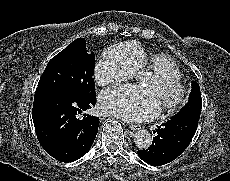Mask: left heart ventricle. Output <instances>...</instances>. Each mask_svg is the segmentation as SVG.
Masks as SVG:
<instances>
[{
    "instance_id": "1",
    "label": "left heart ventricle",
    "mask_w": 230,
    "mask_h": 181,
    "mask_svg": "<svg viewBox=\"0 0 230 181\" xmlns=\"http://www.w3.org/2000/svg\"><path fill=\"white\" fill-rule=\"evenodd\" d=\"M144 87L142 96L152 108L173 99L176 94L174 84L164 78L157 80L147 89Z\"/></svg>"
}]
</instances>
